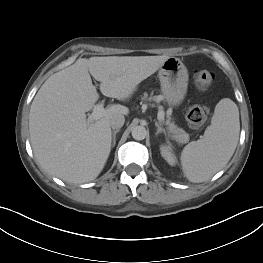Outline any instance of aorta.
Returning a JSON list of instances; mask_svg holds the SVG:
<instances>
[{"label":"aorta","instance_id":"762f6f07","mask_svg":"<svg viewBox=\"0 0 263 263\" xmlns=\"http://www.w3.org/2000/svg\"><path fill=\"white\" fill-rule=\"evenodd\" d=\"M147 136L146 128L143 126H136L132 129V137L135 140H144Z\"/></svg>","mask_w":263,"mask_h":263}]
</instances>
